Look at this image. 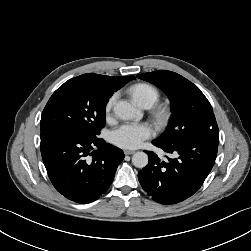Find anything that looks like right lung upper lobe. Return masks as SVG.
Wrapping results in <instances>:
<instances>
[{"label": "right lung upper lobe", "mask_w": 251, "mask_h": 251, "mask_svg": "<svg viewBox=\"0 0 251 251\" xmlns=\"http://www.w3.org/2000/svg\"><path fill=\"white\" fill-rule=\"evenodd\" d=\"M82 77L89 78L100 82L105 88H107L112 94L113 92L120 89L129 81L133 80L134 76H126V77H115V76H105L94 73H88L81 75Z\"/></svg>", "instance_id": "cb5924a9"}]
</instances>
